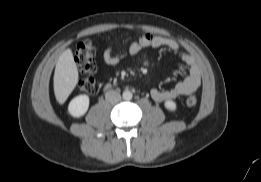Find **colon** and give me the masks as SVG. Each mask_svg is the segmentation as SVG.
Segmentation results:
<instances>
[{
  "instance_id": "5ec220e1",
  "label": "colon",
  "mask_w": 261,
  "mask_h": 182,
  "mask_svg": "<svg viewBox=\"0 0 261 182\" xmlns=\"http://www.w3.org/2000/svg\"><path fill=\"white\" fill-rule=\"evenodd\" d=\"M95 48L90 40H85L78 44L75 52V61L79 69L85 73V77L79 80V89L85 93H92L95 89L94 73L96 70L95 61ZM197 98L190 95L186 99V105L189 107L195 106Z\"/></svg>"
}]
</instances>
